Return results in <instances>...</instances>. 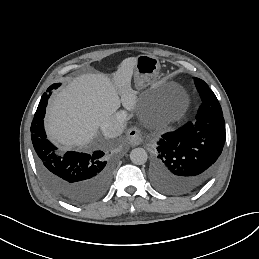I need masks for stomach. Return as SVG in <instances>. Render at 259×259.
Instances as JSON below:
<instances>
[{"instance_id":"0dacf381","label":"stomach","mask_w":259,"mask_h":259,"mask_svg":"<svg viewBox=\"0 0 259 259\" xmlns=\"http://www.w3.org/2000/svg\"><path fill=\"white\" fill-rule=\"evenodd\" d=\"M135 71L138 74L145 76H156L160 71V63L156 56L153 55H139L137 57V64Z\"/></svg>"}]
</instances>
